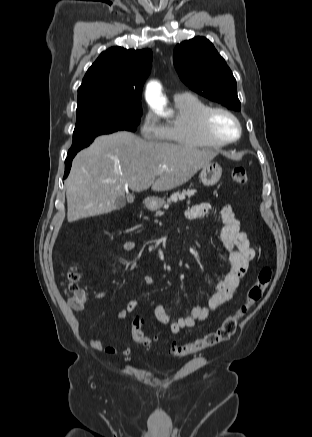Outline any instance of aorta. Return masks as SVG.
<instances>
[{
    "label": "aorta",
    "mask_w": 312,
    "mask_h": 437,
    "mask_svg": "<svg viewBox=\"0 0 312 437\" xmlns=\"http://www.w3.org/2000/svg\"><path fill=\"white\" fill-rule=\"evenodd\" d=\"M146 99L149 105L157 114L164 115L165 99L161 96L160 86L157 83H150L146 91Z\"/></svg>",
    "instance_id": "obj_1"
}]
</instances>
